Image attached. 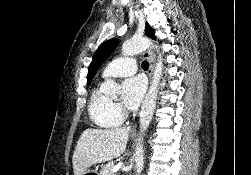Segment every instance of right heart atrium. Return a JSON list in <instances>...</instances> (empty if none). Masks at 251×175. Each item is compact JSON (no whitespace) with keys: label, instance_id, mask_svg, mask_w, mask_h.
I'll return each instance as SVG.
<instances>
[{"label":"right heart atrium","instance_id":"obj_1","mask_svg":"<svg viewBox=\"0 0 251 175\" xmlns=\"http://www.w3.org/2000/svg\"><path fill=\"white\" fill-rule=\"evenodd\" d=\"M114 111H115V114L117 115V117H118L119 119L124 118V113H123V110H122L121 107L115 106V107H114Z\"/></svg>","mask_w":251,"mask_h":175}]
</instances>
